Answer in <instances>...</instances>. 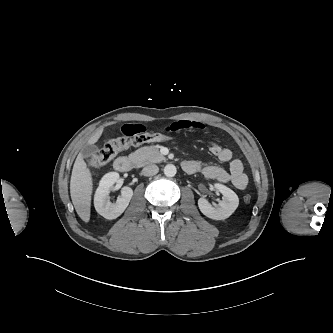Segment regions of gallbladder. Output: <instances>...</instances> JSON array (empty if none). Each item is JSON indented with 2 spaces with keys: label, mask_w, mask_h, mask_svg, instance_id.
<instances>
[{
  "label": "gallbladder",
  "mask_w": 333,
  "mask_h": 333,
  "mask_svg": "<svg viewBox=\"0 0 333 333\" xmlns=\"http://www.w3.org/2000/svg\"><path fill=\"white\" fill-rule=\"evenodd\" d=\"M97 152L98 148L95 145H85L81 150L84 157H90L95 155Z\"/></svg>",
  "instance_id": "obj_1"
}]
</instances>
